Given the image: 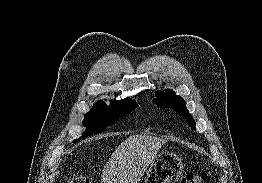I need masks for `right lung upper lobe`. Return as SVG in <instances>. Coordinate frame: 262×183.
Listing matches in <instances>:
<instances>
[{"instance_id": "1", "label": "right lung upper lobe", "mask_w": 262, "mask_h": 183, "mask_svg": "<svg viewBox=\"0 0 262 183\" xmlns=\"http://www.w3.org/2000/svg\"><path fill=\"white\" fill-rule=\"evenodd\" d=\"M127 101H132L130 98H127V99H124V100H121V101H116V100H114L113 102H112V104H117V103H121V102H127Z\"/></svg>"}]
</instances>
